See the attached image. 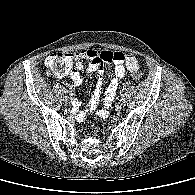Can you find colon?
<instances>
[{
	"label": "colon",
	"mask_w": 195,
	"mask_h": 195,
	"mask_svg": "<svg viewBox=\"0 0 195 195\" xmlns=\"http://www.w3.org/2000/svg\"><path fill=\"white\" fill-rule=\"evenodd\" d=\"M45 64L49 71L57 77L67 75L71 68L70 57L63 53H53L49 55L45 60ZM131 75L136 80L142 78V74L137 70L133 71Z\"/></svg>",
	"instance_id": "colon-1"
}]
</instances>
